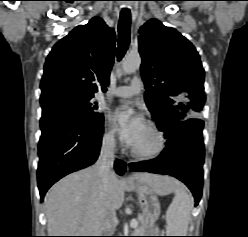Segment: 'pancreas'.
Wrapping results in <instances>:
<instances>
[{"mask_svg": "<svg viewBox=\"0 0 248 237\" xmlns=\"http://www.w3.org/2000/svg\"><path fill=\"white\" fill-rule=\"evenodd\" d=\"M138 226L135 228L134 233L135 235H145L144 233L147 232L148 224L143 217V215L137 218Z\"/></svg>", "mask_w": 248, "mask_h": 237, "instance_id": "pancreas-1", "label": "pancreas"}]
</instances>
